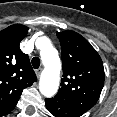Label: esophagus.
I'll list each match as a JSON object with an SVG mask.
<instances>
[{"label": "esophagus", "instance_id": "esophagus-1", "mask_svg": "<svg viewBox=\"0 0 117 117\" xmlns=\"http://www.w3.org/2000/svg\"><path fill=\"white\" fill-rule=\"evenodd\" d=\"M41 72H42V69L41 68L40 69H37L36 70V75L39 77L41 75Z\"/></svg>", "mask_w": 117, "mask_h": 117}]
</instances>
